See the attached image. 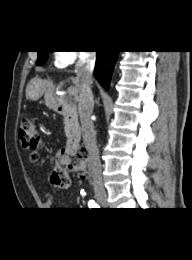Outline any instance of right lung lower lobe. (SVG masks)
Listing matches in <instances>:
<instances>
[{
    "mask_svg": "<svg viewBox=\"0 0 192 260\" xmlns=\"http://www.w3.org/2000/svg\"><path fill=\"white\" fill-rule=\"evenodd\" d=\"M94 76L107 90L119 51H96Z\"/></svg>",
    "mask_w": 192,
    "mask_h": 260,
    "instance_id": "obj_1",
    "label": "right lung lower lobe"
}]
</instances>
